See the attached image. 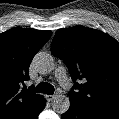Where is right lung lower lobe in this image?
<instances>
[{
  "instance_id": "1",
  "label": "right lung lower lobe",
  "mask_w": 119,
  "mask_h": 119,
  "mask_svg": "<svg viewBox=\"0 0 119 119\" xmlns=\"http://www.w3.org/2000/svg\"><path fill=\"white\" fill-rule=\"evenodd\" d=\"M45 103H46V101H45ZM45 103L43 104V106L41 107V109H40V111H39V113L43 110V108L45 107ZM38 113V114H39ZM38 116V115H37ZM37 116L35 117V119H37Z\"/></svg>"
}]
</instances>
